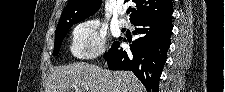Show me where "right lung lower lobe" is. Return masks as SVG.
Returning a JSON list of instances; mask_svg holds the SVG:
<instances>
[{
  "label": "right lung lower lobe",
  "instance_id": "1",
  "mask_svg": "<svg viewBox=\"0 0 225 92\" xmlns=\"http://www.w3.org/2000/svg\"><path fill=\"white\" fill-rule=\"evenodd\" d=\"M172 14L145 18L132 23L138 38L130 51L114 42L104 55L110 70H130L143 83L147 92H158L159 80L167 59L172 31Z\"/></svg>",
  "mask_w": 225,
  "mask_h": 92
}]
</instances>
